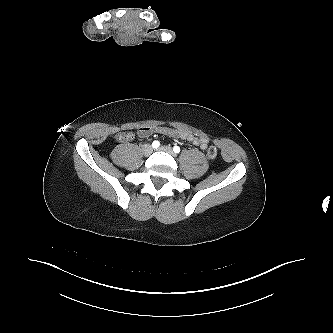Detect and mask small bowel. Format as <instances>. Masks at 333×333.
Here are the masks:
<instances>
[{"label":"small bowel","instance_id":"1","mask_svg":"<svg viewBox=\"0 0 333 333\" xmlns=\"http://www.w3.org/2000/svg\"><path fill=\"white\" fill-rule=\"evenodd\" d=\"M153 133H160L170 137L181 138L192 142L194 145L199 146L202 150H205L208 145V139L206 137L195 136L194 134L177 128H170L166 126H148L142 127L138 130L140 137H148Z\"/></svg>","mask_w":333,"mask_h":333}]
</instances>
